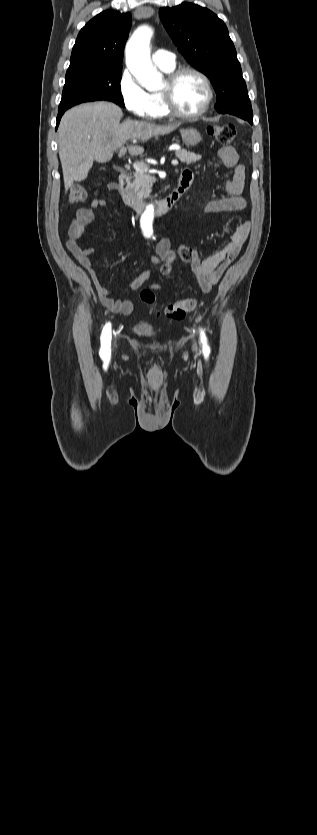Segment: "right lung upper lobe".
Masks as SVG:
<instances>
[{"instance_id": "1", "label": "right lung upper lobe", "mask_w": 317, "mask_h": 835, "mask_svg": "<svg viewBox=\"0 0 317 835\" xmlns=\"http://www.w3.org/2000/svg\"><path fill=\"white\" fill-rule=\"evenodd\" d=\"M131 27V14L103 11L79 32L70 66L121 67L123 51Z\"/></svg>"}]
</instances>
